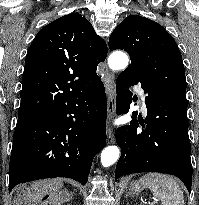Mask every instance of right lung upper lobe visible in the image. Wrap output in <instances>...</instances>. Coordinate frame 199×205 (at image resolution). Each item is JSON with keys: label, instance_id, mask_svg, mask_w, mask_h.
Masks as SVG:
<instances>
[{"label": "right lung upper lobe", "instance_id": "right-lung-upper-lobe-1", "mask_svg": "<svg viewBox=\"0 0 199 205\" xmlns=\"http://www.w3.org/2000/svg\"><path fill=\"white\" fill-rule=\"evenodd\" d=\"M107 45L78 12L43 27L25 59L18 119H33L101 80Z\"/></svg>", "mask_w": 199, "mask_h": 205}]
</instances>
